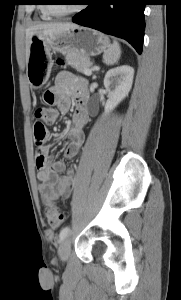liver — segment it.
Listing matches in <instances>:
<instances>
[{
	"instance_id": "1",
	"label": "liver",
	"mask_w": 181,
	"mask_h": 300,
	"mask_svg": "<svg viewBox=\"0 0 181 300\" xmlns=\"http://www.w3.org/2000/svg\"><path fill=\"white\" fill-rule=\"evenodd\" d=\"M75 27H77V25L73 23H40L28 28L26 31V63L29 56L30 41L33 35L54 37Z\"/></svg>"
}]
</instances>
